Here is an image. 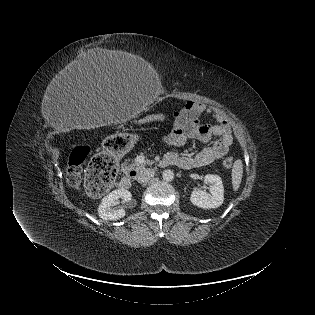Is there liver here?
I'll list each match as a JSON object with an SVG mask.
<instances>
[{"label":"liver","mask_w":315,"mask_h":315,"mask_svg":"<svg viewBox=\"0 0 315 315\" xmlns=\"http://www.w3.org/2000/svg\"><path fill=\"white\" fill-rule=\"evenodd\" d=\"M134 62V55L116 50L100 49L82 60H79L75 65L64 71L62 76L67 79H89L95 76H112L124 74L127 72ZM112 116V115H110ZM110 120V121H109ZM108 122H113V116Z\"/></svg>","instance_id":"1"}]
</instances>
